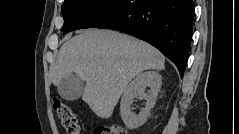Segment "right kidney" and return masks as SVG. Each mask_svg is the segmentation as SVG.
<instances>
[{
  "label": "right kidney",
  "instance_id": "1",
  "mask_svg": "<svg viewBox=\"0 0 239 134\" xmlns=\"http://www.w3.org/2000/svg\"><path fill=\"white\" fill-rule=\"evenodd\" d=\"M161 85L162 76L159 72L147 71L137 75L125 88L120 102V112L128 128L135 129L145 123L151 108L155 105ZM146 87H150L148 93H145ZM136 97L146 100L145 108H142L138 115L131 111V104Z\"/></svg>",
  "mask_w": 239,
  "mask_h": 134
}]
</instances>
